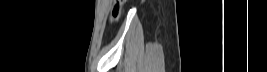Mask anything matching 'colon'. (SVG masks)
Listing matches in <instances>:
<instances>
[{
	"label": "colon",
	"instance_id": "5ec220e1",
	"mask_svg": "<svg viewBox=\"0 0 267 72\" xmlns=\"http://www.w3.org/2000/svg\"><path fill=\"white\" fill-rule=\"evenodd\" d=\"M126 2L125 0H116L115 7L113 9L112 15L114 18H118L121 12L122 4Z\"/></svg>",
	"mask_w": 267,
	"mask_h": 72
}]
</instances>
